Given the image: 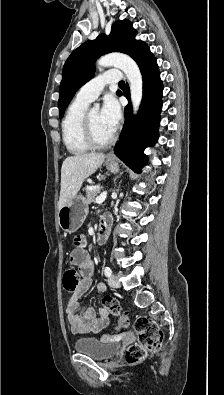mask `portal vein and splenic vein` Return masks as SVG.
<instances>
[{
	"label": "portal vein and splenic vein",
	"mask_w": 224,
	"mask_h": 395,
	"mask_svg": "<svg viewBox=\"0 0 224 395\" xmlns=\"http://www.w3.org/2000/svg\"><path fill=\"white\" fill-rule=\"evenodd\" d=\"M106 197H107V192L106 191L102 192L100 196L96 198V203H102L103 201H105Z\"/></svg>",
	"instance_id": "portal-vein-and-splenic-vein-1"
}]
</instances>
